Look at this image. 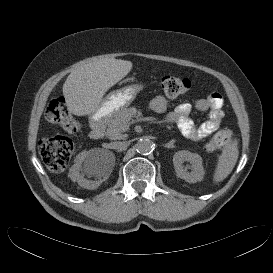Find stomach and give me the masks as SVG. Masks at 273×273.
<instances>
[{"mask_svg": "<svg viewBox=\"0 0 273 273\" xmlns=\"http://www.w3.org/2000/svg\"><path fill=\"white\" fill-rule=\"evenodd\" d=\"M142 89L140 85L133 84L109 93L103 100L99 109L91 114L92 120H107L113 118L120 110L128 107Z\"/></svg>", "mask_w": 273, "mask_h": 273, "instance_id": "obj_1", "label": "stomach"}]
</instances>
